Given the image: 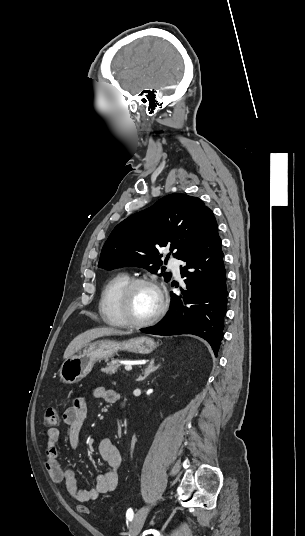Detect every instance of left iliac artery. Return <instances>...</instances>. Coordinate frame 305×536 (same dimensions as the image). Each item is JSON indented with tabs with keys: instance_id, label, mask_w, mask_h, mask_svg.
<instances>
[{
	"instance_id": "obj_1",
	"label": "left iliac artery",
	"mask_w": 305,
	"mask_h": 536,
	"mask_svg": "<svg viewBox=\"0 0 305 536\" xmlns=\"http://www.w3.org/2000/svg\"><path fill=\"white\" fill-rule=\"evenodd\" d=\"M133 515H134L133 510H132L131 508L128 509V510H127V513H126V518H127L129 521H131V520L133 519Z\"/></svg>"
}]
</instances>
